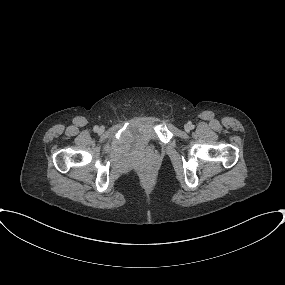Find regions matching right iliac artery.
<instances>
[{
  "instance_id": "right-iliac-artery-1",
  "label": "right iliac artery",
  "mask_w": 285,
  "mask_h": 285,
  "mask_svg": "<svg viewBox=\"0 0 285 285\" xmlns=\"http://www.w3.org/2000/svg\"><path fill=\"white\" fill-rule=\"evenodd\" d=\"M93 130H94L95 132H97V131L99 130V127H98V126H94Z\"/></svg>"
}]
</instances>
